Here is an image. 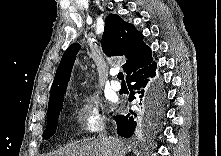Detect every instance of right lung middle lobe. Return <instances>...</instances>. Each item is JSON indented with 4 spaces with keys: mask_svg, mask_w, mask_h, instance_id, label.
<instances>
[{
    "mask_svg": "<svg viewBox=\"0 0 221 156\" xmlns=\"http://www.w3.org/2000/svg\"><path fill=\"white\" fill-rule=\"evenodd\" d=\"M63 99H64V97L60 98L55 103L48 106L47 128L43 133V136L45 137V139H48L49 137L53 136L54 133L56 132L59 113L63 107Z\"/></svg>",
    "mask_w": 221,
    "mask_h": 156,
    "instance_id": "right-lung-middle-lobe-1",
    "label": "right lung middle lobe"
}]
</instances>
